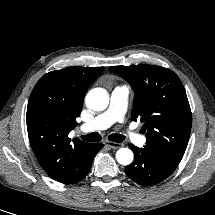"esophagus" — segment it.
<instances>
[{
    "label": "esophagus",
    "instance_id": "1",
    "mask_svg": "<svg viewBox=\"0 0 215 215\" xmlns=\"http://www.w3.org/2000/svg\"><path fill=\"white\" fill-rule=\"evenodd\" d=\"M104 144L112 149H118L123 147L122 143H116V142H112V141H105Z\"/></svg>",
    "mask_w": 215,
    "mask_h": 215
}]
</instances>
